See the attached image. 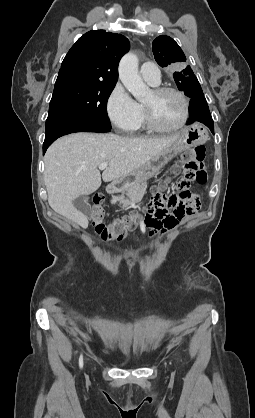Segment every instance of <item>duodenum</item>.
I'll list each match as a JSON object with an SVG mask.
<instances>
[{"label": "duodenum", "mask_w": 255, "mask_h": 418, "mask_svg": "<svg viewBox=\"0 0 255 418\" xmlns=\"http://www.w3.org/2000/svg\"><path fill=\"white\" fill-rule=\"evenodd\" d=\"M124 187V182L121 180L115 181L108 186L109 193H116Z\"/></svg>", "instance_id": "duodenum-1"}]
</instances>
